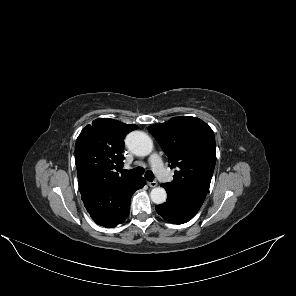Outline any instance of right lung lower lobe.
<instances>
[{
  "instance_id": "1",
  "label": "right lung lower lobe",
  "mask_w": 296,
  "mask_h": 296,
  "mask_svg": "<svg viewBox=\"0 0 296 296\" xmlns=\"http://www.w3.org/2000/svg\"><path fill=\"white\" fill-rule=\"evenodd\" d=\"M77 176L85 208L98 225L107 228L115 227L127 218L133 193L145 185L142 177L121 183H102L89 174Z\"/></svg>"
}]
</instances>
